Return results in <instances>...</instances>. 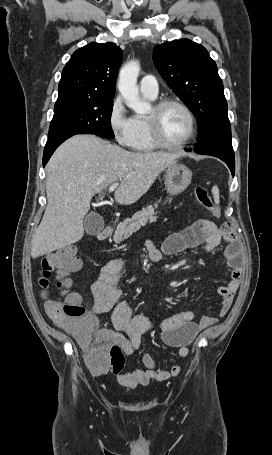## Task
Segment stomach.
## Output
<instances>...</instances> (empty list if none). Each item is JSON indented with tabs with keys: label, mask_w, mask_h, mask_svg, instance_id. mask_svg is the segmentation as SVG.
<instances>
[{
	"label": "stomach",
	"mask_w": 272,
	"mask_h": 455,
	"mask_svg": "<svg viewBox=\"0 0 272 455\" xmlns=\"http://www.w3.org/2000/svg\"><path fill=\"white\" fill-rule=\"evenodd\" d=\"M191 179L192 172L185 165L174 162L165 170V186L171 195L183 192L191 183Z\"/></svg>",
	"instance_id": "0dacf381"
}]
</instances>
